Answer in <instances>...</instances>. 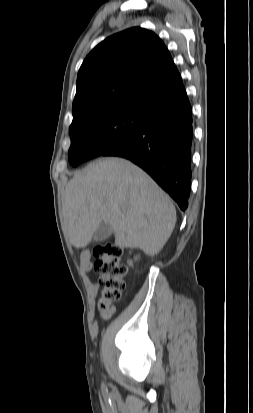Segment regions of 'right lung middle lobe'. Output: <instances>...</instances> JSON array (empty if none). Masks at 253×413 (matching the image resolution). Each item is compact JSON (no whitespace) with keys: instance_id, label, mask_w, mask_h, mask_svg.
<instances>
[{"instance_id":"obj_1","label":"right lung middle lobe","mask_w":253,"mask_h":413,"mask_svg":"<svg viewBox=\"0 0 253 413\" xmlns=\"http://www.w3.org/2000/svg\"><path fill=\"white\" fill-rule=\"evenodd\" d=\"M149 112L132 107H110L87 113L70 125L69 163L77 166L138 131Z\"/></svg>"}]
</instances>
